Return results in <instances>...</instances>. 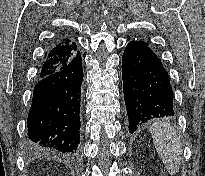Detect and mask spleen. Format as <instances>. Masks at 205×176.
Here are the masks:
<instances>
[{
  "label": "spleen",
  "mask_w": 205,
  "mask_h": 176,
  "mask_svg": "<svg viewBox=\"0 0 205 176\" xmlns=\"http://www.w3.org/2000/svg\"><path fill=\"white\" fill-rule=\"evenodd\" d=\"M150 132L156 151L170 175L179 171L182 142L175 128L167 122L154 123Z\"/></svg>",
  "instance_id": "3e777b00"
}]
</instances>
